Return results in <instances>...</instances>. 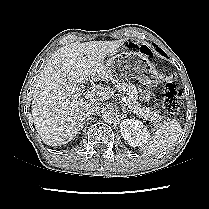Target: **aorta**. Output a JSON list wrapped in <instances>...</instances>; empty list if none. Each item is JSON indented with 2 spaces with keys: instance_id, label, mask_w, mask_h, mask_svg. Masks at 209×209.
<instances>
[{
  "instance_id": "762f6f07",
  "label": "aorta",
  "mask_w": 209,
  "mask_h": 209,
  "mask_svg": "<svg viewBox=\"0 0 209 209\" xmlns=\"http://www.w3.org/2000/svg\"><path fill=\"white\" fill-rule=\"evenodd\" d=\"M102 118L106 123H114L119 119V113L115 109L105 110L102 114Z\"/></svg>"
}]
</instances>
